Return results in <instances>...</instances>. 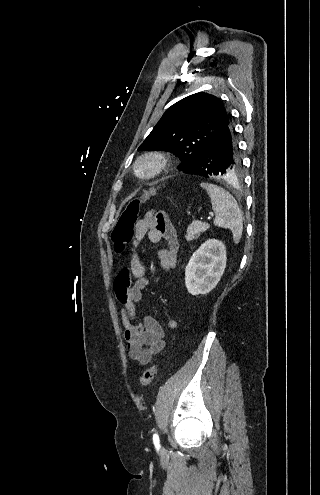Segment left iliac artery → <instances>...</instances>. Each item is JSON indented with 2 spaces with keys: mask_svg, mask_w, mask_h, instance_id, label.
<instances>
[{
  "mask_svg": "<svg viewBox=\"0 0 320 495\" xmlns=\"http://www.w3.org/2000/svg\"><path fill=\"white\" fill-rule=\"evenodd\" d=\"M153 443H154L155 447H157V448L160 447V440H159V436L157 433H155L153 435Z\"/></svg>",
  "mask_w": 320,
  "mask_h": 495,
  "instance_id": "1",
  "label": "left iliac artery"
}]
</instances>
